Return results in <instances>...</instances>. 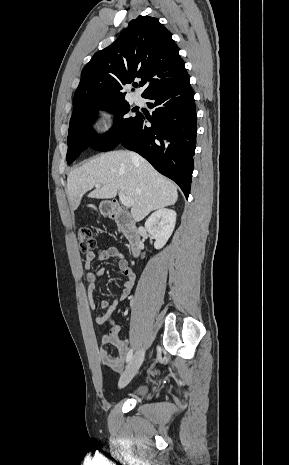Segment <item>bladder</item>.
<instances>
[{"instance_id":"1","label":"bladder","mask_w":289,"mask_h":465,"mask_svg":"<svg viewBox=\"0 0 289 465\" xmlns=\"http://www.w3.org/2000/svg\"><path fill=\"white\" fill-rule=\"evenodd\" d=\"M148 392V386L144 383L137 385L132 390V396L134 397H144Z\"/></svg>"}]
</instances>
